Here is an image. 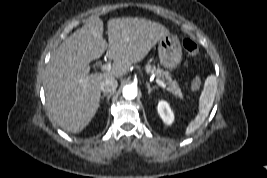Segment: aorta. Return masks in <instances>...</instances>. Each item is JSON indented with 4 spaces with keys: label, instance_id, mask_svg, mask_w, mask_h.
<instances>
[{
    "label": "aorta",
    "instance_id": "aorta-1",
    "mask_svg": "<svg viewBox=\"0 0 267 178\" xmlns=\"http://www.w3.org/2000/svg\"><path fill=\"white\" fill-rule=\"evenodd\" d=\"M123 97L127 100H132L137 96V87L135 85H126L122 90Z\"/></svg>",
    "mask_w": 267,
    "mask_h": 178
}]
</instances>
